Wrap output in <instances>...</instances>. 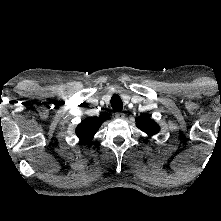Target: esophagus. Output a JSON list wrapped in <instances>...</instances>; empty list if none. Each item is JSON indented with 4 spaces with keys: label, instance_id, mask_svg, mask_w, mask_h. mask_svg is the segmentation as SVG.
Returning a JSON list of instances; mask_svg holds the SVG:
<instances>
[{
    "label": "esophagus",
    "instance_id": "34e87169",
    "mask_svg": "<svg viewBox=\"0 0 221 221\" xmlns=\"http://www.w3.org/2000/svg\"><path fill=\"white\" fill-rule=\"evenodd\" d=\"M115 117L117 119H124L125 118V114L123 112H116L115 113Z\"/></svg>",
    "mask_w": 221,
    "mask_h": 221
}]
</instances>
